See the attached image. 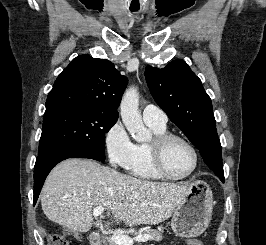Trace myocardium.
Returning <instances> with one entry per match:
<instances>
[{"label": "myocardium", "instance_id": "f54148a6", "mask_svg": "<svg viewBox=\"0 0 266 245\" xmlns=\"http://www.w3.org/2000/svg\"><path fill=\"white\" fill-rule=\"evenodd\" d=\"M172 140H180L187 144L194 154V165L192 170L183 177H173L165 169L163 163V153L166 145ZM149 156L152 166L159 177L174 182H181L190 179L197 171L200 163V156L195 145L186 137L175 133H162L154 136L152 141L148 143Z\"/></svg>", "mask_w": 266, "mask_h": 245}]
</instances>
